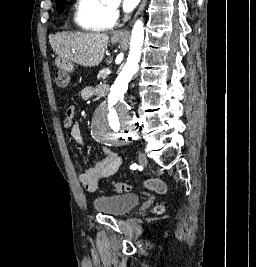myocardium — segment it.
Masks as SVG:
<instances>
[{
  "mask_svg": "<svg viewBox=\"0 0 256 267\" xmlns=\"http://www.w3.org/2000/svg\"><path fill=\"white\" fill-rule=\"evenodd\" d=\"M111 16H109L106 20H104V21H107V20H111V18H110Z\"/></svg>",
  "mask_w": 256,
  "mask_h": 267,
  "instance_id": "f54148a6",
  "label": "myocardium"
}]
</instances>
